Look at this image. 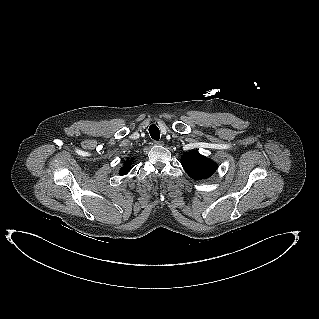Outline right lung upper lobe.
<instances>
[{
    "instance_id": "right-lung-upper-lobe-1",
    "label": "right lung upper lobe",
    "mask_w": 319,
    "mask_h": 319,
    "mask_svg": "<svg viewBox=\"0 0 319 319\" xmlns=\"http://www.w3.org/2000/svg\"><path fill=\"white\" fill-rule=\"evenodd\" d=\"M131 161H132V159H131V160H127V161L124 163V167L121 168L120 174L124 175V174H127V173L130 171V169H131V163H132Z\"/></svg>"
}]
</instances>
